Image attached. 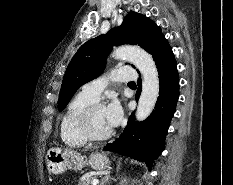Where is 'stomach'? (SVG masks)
<instances>
[{
	"mask_svg": "<svg viewBox=\"0 0 233 185\" xmlns=\"http://www.w3.org/2000/svg\"><path fill=\"white\" fill-rule=\"evenodd\" d=\"M47 169L52 174H62L68 169L82 170L85 165H90L93 169L103 170L109 167L110 161L104 153L93 152L89 159L73 150L50 148L46 158Z\"/></svg>",
	"mask_w": 233,
	"mask_h": 185,
	"instance_id": "obj_1",
	"label": "stomach"
}]
</instances>
